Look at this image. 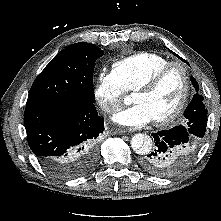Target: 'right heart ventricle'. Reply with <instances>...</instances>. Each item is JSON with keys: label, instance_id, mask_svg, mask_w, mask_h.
Here are the masks:
<instances>
[{"label": "right heart ventricle", "instance_id": "e07e8e85", "mask_svg": "<svg viewBox=\"0 0 221 221\" xmlns=\"http://www.w3.org/2000/svg\"><path fill=\"white\" fill-rule=\"evenodd\" d=\"M168 62L169 59L158 53L139 52L115 62L112 72L125 91H135Z\"/></svg>", "mask_w": 221, "mask_h": 221}]
</instances>
